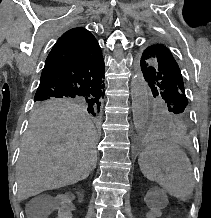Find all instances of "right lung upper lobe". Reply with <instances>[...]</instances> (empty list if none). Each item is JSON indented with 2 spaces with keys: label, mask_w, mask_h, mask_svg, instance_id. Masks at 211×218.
Here are the masks:
<instances>
[{
  "label": "right lung upper lobe",
  "mask_w": 211,
  "mask_h": 218,
  "mask_svg": "<svg viewBox=\"0 0 211 218\" xmlns=\"http://www.w3.org/2000/svg\"><path fill=\"white\" fill-rule=\"evenodd\" d=\"M95 37L84 28H73L64 33L49 53L42 73L79 60L101 55Z\"/></svg>",
  "instance_id": "cb5924a9"
}]
</instances>
